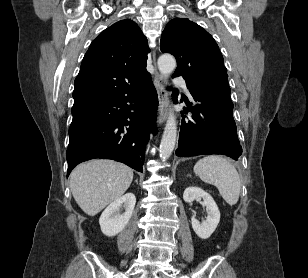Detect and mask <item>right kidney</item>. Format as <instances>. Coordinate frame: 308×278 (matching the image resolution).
Masks as SVG:
<instances>
[{"mask_svg": "<svg viewBox=\"0 0 308 278\" xmlns=\"http://www.w3.org/2000/svg\"><path fill=\"white\" fill-rule=\"evenodd\" d=\"M136 197L133 193H127L112 202L101 214L99 224L104 235L112 237L120 233L129 222L134 207ZM124 207L125 212L120 214V208Z\"/></svg>", "mask_w": 308, "mask_h": 278, "instance_id": "right-kidney-1", "label": "right kidney"}]
</instances>
